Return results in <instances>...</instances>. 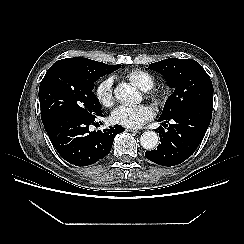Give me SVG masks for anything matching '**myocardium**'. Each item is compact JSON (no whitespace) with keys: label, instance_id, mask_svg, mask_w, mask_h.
<instances>
[{"label":"myocardium","instance_id":"f54148a6","mask_svg":"<svg viewBox=\"0 0 244 244\" xmlns=\"http://www.w3.org/2000/svg\"><path fill=\"white\" fill-rule=\"evenodd\" d=\"M150 97H151L152 99H154L155 101H158L159 98H160V93H158V92H152V93L150 94Z\"/></svg>","mask_w":244,"mask_h":244}]
</instances>
